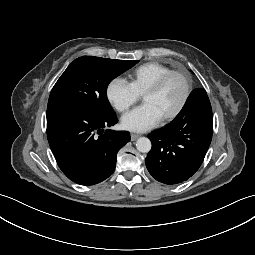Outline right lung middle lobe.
<instances>
[{"mask_svg": "<svg viewBox=\"0 0 255 255\" xmlns=\"http://www.w3.org/2000/svg\"><path fill=\"white\" fill-rule=\"evenodd\" d=\"M138 63L93 56L75 59L54 85L48 106L71 105L103 116L114 114L106 91L109 83Z\"/></svg>", "mask_w": 255, "mask_h": 255, "instance_id": "dd1d6c3e", "label": "right lung middle lobe"}]
</instances>
